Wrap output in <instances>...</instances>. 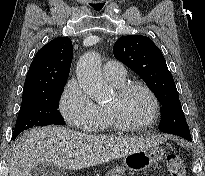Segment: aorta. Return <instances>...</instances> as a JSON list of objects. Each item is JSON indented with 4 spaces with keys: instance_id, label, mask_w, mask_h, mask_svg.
Returning a JSON list of instances; mask_svg holds the SVG:
<instances>
[{
    "instance_id": "1",
    "label": "aorta",
    "mask_w": 205,
    "mask_h": 176,
    "mask_svg": "<svg viewBox=\"0 0 205 176\" xmlns=\"http://www.w3.org/2000/svg\"><path fill=\"white\" fill-rule=\"evenodd\" d=\"M76 76L80 87L96 101L104 100L108 87L100 69V57L95 52L85 53L77 63Z\"/></svg>"
}]
</instances>
